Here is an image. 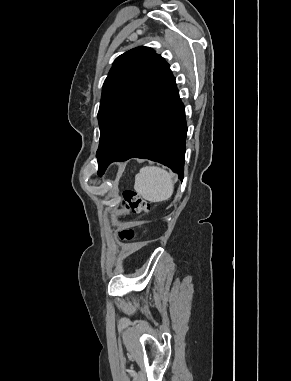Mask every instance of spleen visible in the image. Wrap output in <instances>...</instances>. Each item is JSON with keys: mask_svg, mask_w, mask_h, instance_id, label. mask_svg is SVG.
Segmentation results:
<instances>
[{"mask_svg": "<svg viewBox=\"0 0 291 381\" xmlns=\"http://www.w3.org/2000/svg\"><path fill=\"white\" fill-rule=\"evenodd\" d=\"M134 189L150 202L168 200L174 191L172 175L160 167H143L135 177Z\"/></svg>", "mask_w": 291, "mask_h": 381, "instance_id": "3e777b00", "label": "spleen"}]
</instances>
